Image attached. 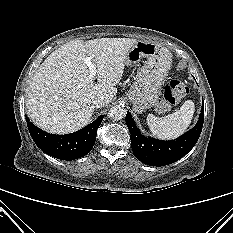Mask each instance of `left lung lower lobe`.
Instances as JSON below:
<instances>
[{"instance_id":"left-lung-lower-lobe-1","label":"left lung lower lobe","mask_w":233,"mask_h":233,"mask_svg":"<svg viewBox=\"0 0 233 233\" xmlns=\"http://www.w3.org/2000/svg\"><path fill=\"white\" fill-rule=\"evenodd\" d=\"M204 122V102L196 125L177 139L170 141L145 137L137 128L130 112L126 124L130 132L132 151L137 159L150 166H164L178 161L196 144Z\"/></svg>"}]
</instances>
